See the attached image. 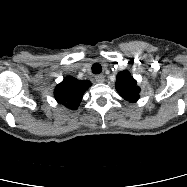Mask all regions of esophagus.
Masks as SVG:
<instances>
[{
	"label": "esophagus",
	"instance_id": "34e87169",
	"mask_svg": "<svg viewBox=\"0 0 187 187\" xmlns=\"http://www.w3.org/2000/svg\"><path fill=\"white\" fill-rule=\"evenodd\" d=\"M95 81H96L97 83H102V82H104V75H97V76H95Z\"/></svg>",
	"mask_w": 187,
	"mask_h": 187
}]
</instances>
